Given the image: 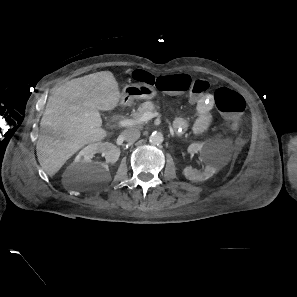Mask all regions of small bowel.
I'll list each match as a JSON object with an SVG mask.
<instances>
[{"label":"small bowel","instance_id":"small-bowel-1","mask_svg":"<svg viewBox=\"0 0 297 297\" xmlns=\"http://www.w3.org/2000/svg\"><path fill=\"white\" fill-rule=\"evenodd\" d=\"M191 102L196 106V119L191 123L189 119L177 118L174 121V127L178 128V131H185L190 126L195 134L200 135L207 131L212 123L211 111L214 105V98L211 94H206L202 97L191 98ZM233 131L234 128H231Z\"/></svg>","mask_w":297,"mask_h":297}]
</instances>
